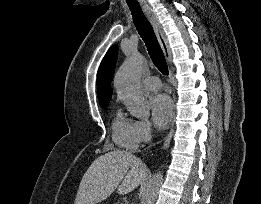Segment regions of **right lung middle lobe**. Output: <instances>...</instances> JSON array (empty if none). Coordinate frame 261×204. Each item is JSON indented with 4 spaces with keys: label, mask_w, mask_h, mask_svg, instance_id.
<instances>
[{
    "label": "right lung middle lobe",
    "mask_w": 261,
    "mask_h": 204,
    "mask_svg": "<svg viewBox=\"0 0 261 204\" xmlns=\"http://www.w3.org/2000/svg\"><path fill=\"white\" fill-rule=\"evenodd\" d=\"M108 103H109V102H106V103H100L101 108L107 107Z\"/></svg>",
    "instance_id": "dd1d6c3e"
}]
</instances>
